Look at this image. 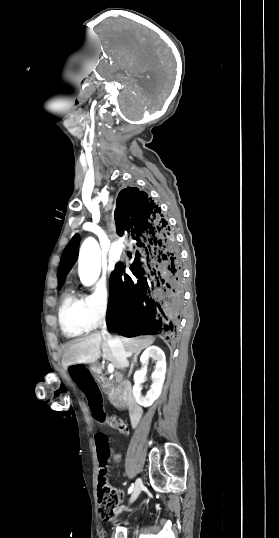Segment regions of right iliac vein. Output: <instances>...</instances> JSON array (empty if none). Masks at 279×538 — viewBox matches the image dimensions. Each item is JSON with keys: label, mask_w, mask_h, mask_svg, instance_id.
Segmentation results:
<instances>
[{"label": "right iliac vein", "mask_w": 279, "mask_h": 538, "mask_svg": "<svg viewBox=\"0 0 279 538\" xmlns=\"http://www.w3.org/2000/svg\"><path fill=\"white\" fill-rule=\"evenodd\" d=\"M142 488H143L142 479L138 478L136 480V482H135V487H134L133 493H132L131 498H130V503L134 502L137 499V497L141 493Z\"/></svg>", "instance_id": "right-iliac-vein-1"}]
</instances>
